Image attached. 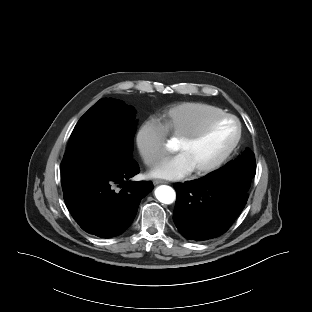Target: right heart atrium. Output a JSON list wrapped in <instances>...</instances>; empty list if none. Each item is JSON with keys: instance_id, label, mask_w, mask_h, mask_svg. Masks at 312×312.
<instances>
[{"instance_id": "obj_1", "label": "right heart atrium", "mask_w": 312, "mask_h": 312, "mask_svg": "<svg viewBox=\"0 0 312 312\" xmlns=\"http://www.w3.org/2000/svg\"><path fill=\"white\" fill-rule=\"evenodd\" d=\"M166 130L155 117L147 118L140 126L136 143L145 163L152 167L166 155Z\"/></svg>"}]
</instances>
